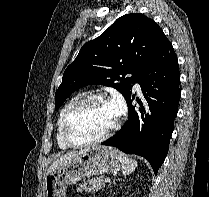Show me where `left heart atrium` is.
Segmentation results:
<instances>
[{"instance_id": "1", "label": "left heart atrium", "mask_w": 209, "mask_h": 197, "mask_svg": "<svg viewBox=\"0 0 209 197\" xmlns=\"http://www.w3.org/2000/svg\"><path fill=\"white\" fill-rule=\"evenodd\" d=\"M109 105L117 119L123 113V105L121 100L119 98H115L109 102Z\"/></svg>"}]
</instances>
